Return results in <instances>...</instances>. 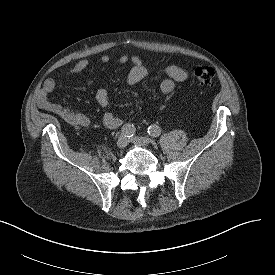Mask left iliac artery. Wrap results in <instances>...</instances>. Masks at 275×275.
I'll return each instance as SVG.
<instances>
[{"mask_svg":"<svg viewBox=\"0 0 275 275\" xmlns=\"http://www.w3.org/2000/svg\"><path fill=\"white\" fill-rule=\"evenodd\" d=\"M147 132L151 137L156 138L161 134V128L157 125H151L148 127Z\"/></svg>","mask_w":275,"mask_h":275,"instance_id":"left-iliac-artery-1","label":"left iliac artery"}]
</instances>
